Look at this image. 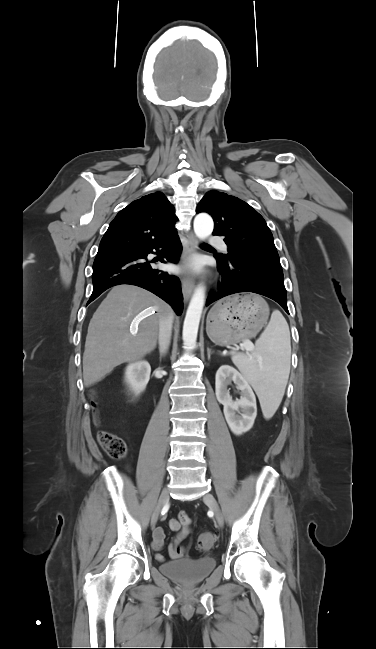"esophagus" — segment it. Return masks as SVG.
I'll return each instance as SVG.
<instances>
[{
	"instance_id": "obj_1",
	"label": "esophagus",
	"mask_w": 376,
	"mask_h": 649,
	"mask_svg": "<svg viewBox=\"0 0 376 649\" xmlns=\"http://www.w3.org/2000/svg\"><path fill=\"white\" fill-rule=\"evenodd\" d=\"M188 242L189 245L184 251L183 255V263L186 265L187 262L190 260L191 256L197 251L198 249V240L196 236L191 232L188 235ZM195 288V282L194 279L190 276H184L182 279V291L185 300H188L190 296L192 295L193 291Z\"/></svg>"
}]
</instances>
